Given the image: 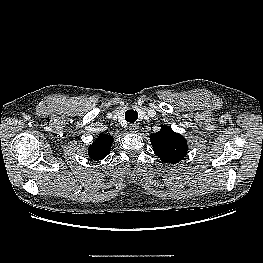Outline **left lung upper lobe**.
I'll list each match as a JSON object with an SVG mask.
<instances>
[{
  "label": "left lung upper lobe",
  "mask_w": 263,
  "mask_h": 263,
  "mask_svg": "<svg viewBox=\"0 0 263 263\" xmlns=\"http://www.w3.org/2000/svg\"><path fill=\"white\" fill-rule=\"evenodd\" d=\"M150 140L154 153L162 162L176 164L187 155L185 138L169 126H162L159 132L151 134Z\"/></svg>",
  "instance_id": "5c2ea615"
}]
</instances>
